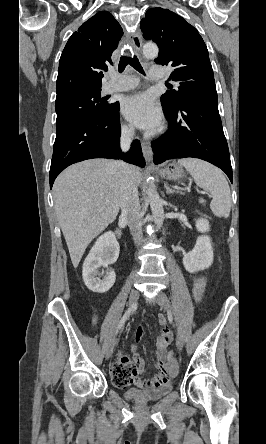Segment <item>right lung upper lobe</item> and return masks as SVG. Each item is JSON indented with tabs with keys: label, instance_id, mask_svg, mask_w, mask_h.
Returning <instances> with one entry per match:
<instances>
[{
	"label": "right lung upper lobe",
	"instance_id": "obj_1",
	"mask_svg": "<svg viewBox=\"0 0 266 444\" xmlns=\"http://www.w3.org/2000/svg\"><path fill=\"white\" fill-rule=\"evenodd\" d=\"M123 35L120 24L106 11L82 24L69 38L59 61L56 98L69 92L101 89L103 71Z\"/></svg>",
	"mask_w": 266,
	"mask_h": 444
}]
</instances>
